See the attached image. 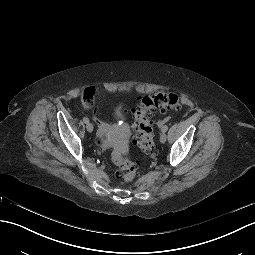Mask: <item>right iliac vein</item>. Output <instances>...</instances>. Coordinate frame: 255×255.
<instances>
[{"label":"right iliac vein","mask_w":255,"mask_h":255,"mask_svg":"<svg viewBox=\"0 0 255 255\" xmlns=\"http://www.w3.org/2000/svg\"><path fill=\"white\" fill-rule=\"evenodd\" d=\"M86 128L88 132H92L94 127L92 123H87Z\"/></svg>","instance_id":"63e3f726"}]
</instances>
